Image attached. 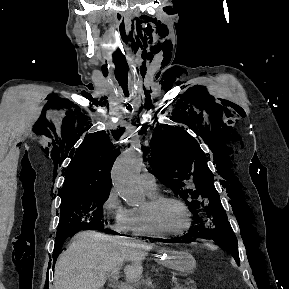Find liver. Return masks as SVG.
<instances>
[{"label": "liver", "instance_id": "6515ba94", "mask_svg": "<svg viewBox=\"0 0 289 289\" xmlns=\"http://www.w3.org/2000/svg\"><path fill=\"white\" fill-rule=\"evenodd\" d=\"M150 249L146 244H125L96 231L80 232L57 260L54 289H102L108 274L124 261L130 263L124 268L126 279L137 282Z\"/></svg>", "mask_w": 289, "mask_h": 289}]
</instances>
